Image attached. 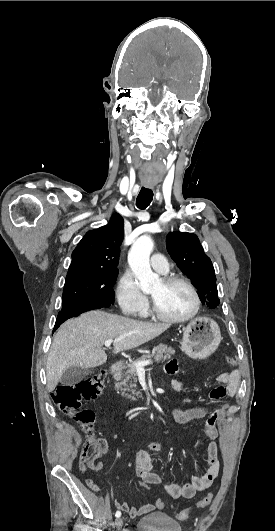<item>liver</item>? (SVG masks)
Masks as SVG:
<instances>
[{
  "label": "liver",
  "mask_w": 275,
  "mask_h": 531,
  "mask_svg": "<svg viewBox=\"0 0 275 531\" xmlns=\"http://www.w3.org/2000/svg\"><path fill=\"white\" fill-rule=\"evenodd\" d=\"M168 323H144L105 311H89L77 319H69L58 329L50 347L47 365V389L57 387L69 367L91 369L107 361L105 341H114L113 353L135 349L167 331Z\"/></svg>",
  "instance_id": "liver-1"
}]
</instances>
